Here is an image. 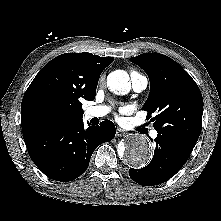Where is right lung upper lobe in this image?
<instances>
[{"mask_svg": "<svg viewBox=\"0 0 221 221\" xmlns=\"http://www.w3.org/2000/svg\"><path fill=\"white\" fill-rule=\"evenodd\" d=\"M113 57L67 53L36 75L21 104L23 134L38 128L82 120V99L94 100L102 71Z\"/></svg>", "mask_w": 221, "mask_h": 221, "instance_id": "cb5924a9", "label": "right lung upper lobe"}]
</instances>
